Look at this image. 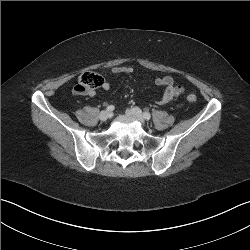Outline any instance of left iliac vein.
Instances as JSON below:
<instances>
[{"instance_id":"4c4485c4","label":"left iliac vein","mask_w":250,"mask_h":250,"mask_svg":"<svg viewBox=\"0 0 250 250\" xmlns=\"http://www.w3.org/2000/svg\"><path fill=\"white\" fill-rule=\"evenodd\" d=\"M126 113L127 115L137 119L143 126L146 125L143 113L139 108L134 107V108L127 109Z\"/></svg>"}]
</instances>
